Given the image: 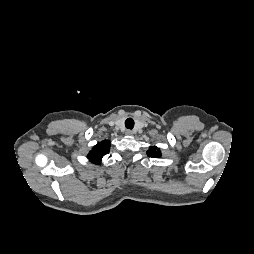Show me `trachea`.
I'll return each mask as SVG.
<instances>
[{
  "label": "trachea",
  "mask_w": 254,
  "mask_h": 254,
  "mask_svg": "<svg viewBox=\"0 0 254 254\" xmlns=\"http://www.w3.org/2000/svg\"><path fill=\"white\" fill-rule=\"evenodd\" d=\"M125 127L128 129H132L134 127V120L132 118L126 119Z\"/></svg>",
  "instance_id": "obj_1"
}]
</instances>
